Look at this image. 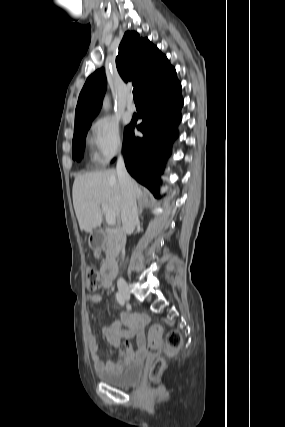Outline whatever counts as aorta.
<instances>
[{
  "label": "aorta",
  "mask_w": 285,
  "mask_h": 427,
  "mask_svg": "<svg viewBox=\"0 0 285 427\" xmlns=\"http://www.w3.org/2000/svg\"><path fill=\"white\" fill-rule=\"evenodd\" d=\"M109 107H110V101H109V98H108V97H105V98H104V101H103V109H104V110H108V109H109Z\"/></svg>",
  "instance_id": "1"
}]
</instances>
